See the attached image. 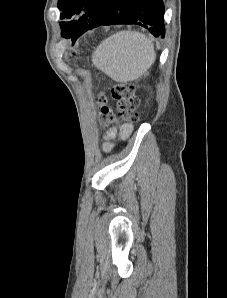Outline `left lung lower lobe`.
Here are the masks:
<instances>
[{"label":"left lung lower lobe","instance_id":"0a47b994","mask_svg":"<svg viewBox=\"0 0 227 298\" xmlns=\"http://www.w3.org/2000/svg\"><path fill=\"white\" fill-rule=\"evenodd\" d=\"M163 22L162 0H107L95 27L135 24L147 28L155 37H164Z\"/></svg>","mask_w":227,"mask_h":298}]
</instances>
